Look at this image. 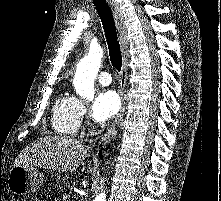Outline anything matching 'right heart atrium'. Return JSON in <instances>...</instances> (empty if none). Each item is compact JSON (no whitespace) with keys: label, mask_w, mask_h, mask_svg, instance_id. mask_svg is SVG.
<instances>
[{"label":"right heart atrium","mask_w":221,"mask_h":201,"mask_svg":"<svg viewBox=\"0 0 221 201\" xmlns=\"http://www.w3.org/2000/svg\"><path fill=\"white\" fill-rule=\"evenodd\" d=\"M77 112H78L79 120L80 121L85 120V118H86V108H85V105L79 100H78Z\"/></svg>","instance_id":"obj_1"}]
</instances>
